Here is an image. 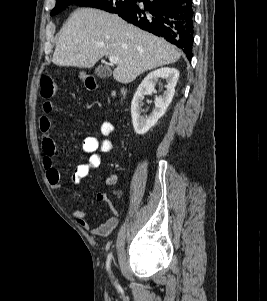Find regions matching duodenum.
<instances>
[{"instance_id":"1","label":"duodenum","mask_w":267,"mask_h":301,"mask_svg":"<svg viewBox=\"0 0 267 301\" xmlns=\"http://www.w3.org/2000/svg\"><path fill=\"white\" fill-rule=\"evenodd\" d=\"M88 87H89V88H94V87H95V83H94V81H93L91 78L88 79ZM121 92L124 94V93H125V89L122 88V89H121Z\"/></svg>"}]
</instances>
